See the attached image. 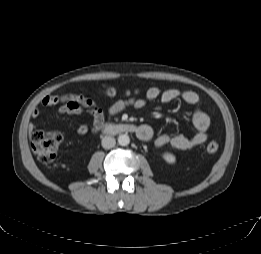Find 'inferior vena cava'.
<instances>
[{
  "instance_id": "inferior-vena-cava-1",
  "label": "inferior vena cava",
  "mask_w": 261,
  "mask_h": 254,
  "mask_svg": "<svg viewBox=\"0 0 261 254\" xmlns=\"http://www.w3.org/2000/svg\"><path fill=\"white\" fill-rule=\"evenodd\" d=\"M102 147L105 149L113 148L116 144V140L114 137L111 136H105L102 138Z\"/></svg>"
}]
</instances>
